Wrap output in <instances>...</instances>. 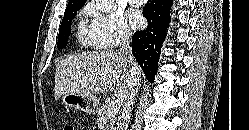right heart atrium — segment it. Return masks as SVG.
I'll list each match as a JSON object with an SVG mask.
<instances>
[{"label":"right heart atrium","mask_w":249,"mask_h":130,"mask_svg":"<svg viewBox=\"0 0 249 130\" xmlns=\"http://www.w3.org/2000/svg\"><path fill=\"white\" fill-rule=\"evenodd\" d=\"M83 12L90 19L89 29L96 47L110 49L130 39L132 33L122 13L101 11L94 3L87 4Z\"/></svg>","instance_id":"right-heart-atrium-1"}]
</instances>
